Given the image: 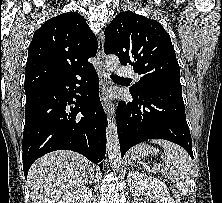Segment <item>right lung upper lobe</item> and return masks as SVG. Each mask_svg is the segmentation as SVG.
<instances>
[{"instance_id":"1","label":"right lung upper lobe","mask_w":222,"mask_h":203,"mask_svg":"<svg viewBox=\"0 0 222 203\" xmlns=\"http://www.w3.org/2000/svg\"><path fill=\"white\" fill-rule=\"evenodd\" d=\"M97 39L83 16L67 12L47 20L28 48L25 91L52 80L78 76L93 67Z\"/></svg>"}]
</instances>
